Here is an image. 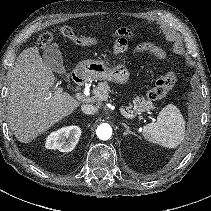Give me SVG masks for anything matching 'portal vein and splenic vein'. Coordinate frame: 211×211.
Returning <instances> with one entry per match:
<instances>
[{"instance_id": "portal-vein-and-splenic-vein-1", "label": "portal vein and splenic vein", "mask_w": 211, "mask_h": 211, "mask_svg": "<svg viewBox=\"0 0 211 211\" xmlns=\"http://www.w3.org/2000/svg\"><path fill=\"white\" fill-rule=\"evenodd\" d=\"M76 98H77L78 100H80V101H89V100L93 99V98L88 97V96H86V95H83V94H81V93H77V94H76ZM120 110H121L122 115L125 116L126 118H133V117H134L133 114H128V113L125 111L124 108L121 107Z\"/></svg>"}]
</instances>
